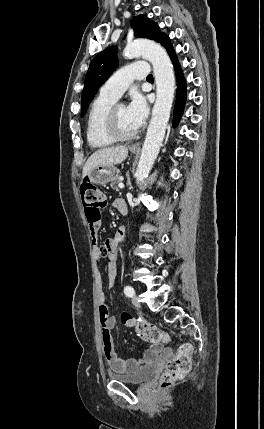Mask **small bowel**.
Here are the masks:
<instances>
[{
    "instance_id": "c3829d8e",
    "label": "small bowel",
    "mask_w": 264,
    "mask_h": 429,
    "mask_svg": "<svg viewBox=\"0 0 264 429\" xmlns=\"http://www.w3.org/2000/svg\"><path fill=\"white\" fill-rule=\"evenodd\" d=\"M122 199H116L113 202V207L117 209ZM100 223L90 224L89 231L92 239V255L95 260H100L101 257L107 256L109 259L107 265V283L109 287H113L117 277V245L124 240L126 235L125 229H120L115 234L114 238L107 239L103 245L98 244V232ZM97 297L99 304V317L102 328V344L104 356L110 368L117 373L132 372L138 369L143 364H152L156 362L163 351L162 345L151 344L150 347L138 359L125 358L118 354L114 347L112 331L116 328V319L110 314L105 304V293L103 281L100 272H97Z\"/></svg>"
}]
</instances>
